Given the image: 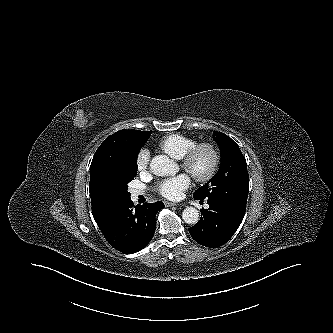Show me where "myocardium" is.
Segmentation results:
<instances>
[{
    "label": "myocardium",
    "mask_w": 333,
    "mask_h": 333,
    "mask_svg": "<svg viewBox=\"0 0 333 333\" xmlns=\"http://www.w3.org/2000/svg\"><path fill=\"white\" fill-rule=\"evenodd\" d=\"M200 152H207L210 156L209 166L203 173H197L193 170V164ZM220 162L218 149L209 142L196 144L180 160L182 169L188 172L196 181L207 182L216 174Z\"/></svg>",
    "instance_id": "f54148a6"
}]
</instances>
